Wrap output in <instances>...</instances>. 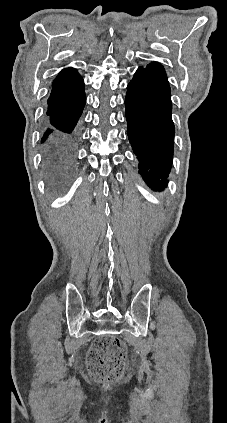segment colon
<instances>
[{"label":"colon","mask_w":227,"mask_h":423,"mask_svg":"<svg viewBox=\"0 0 227 423\" xmlns=\"http://www.w3.org/2000/svg\"><path fill=\"white\" fill-rule=\"evenodd\" d=\"M124 360V344L112 335H104L95 339L88 353L91 374L103 382L121 378Z\"/></svg>","instance_id":"1"}]
</instances>
